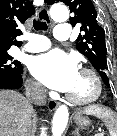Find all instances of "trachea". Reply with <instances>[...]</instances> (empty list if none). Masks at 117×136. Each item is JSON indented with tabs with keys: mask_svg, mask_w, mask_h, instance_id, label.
<instances>
[{
	"mask_svg": "<svg viewBox=\"0 0 117 136\" xmlns=\"http://www.w3.org/2000/svg\"><path fill=\"white\" fill-rule=\"evenodd\" d=\"M33 27L36 31H46L48 29L46 22L37 20L33 21Z\"/></svg>",
	"mask_w": 117,
	"mask_h": 136,
	"instance_id": "1",
	"label": "trachea"
}]
</instances>
